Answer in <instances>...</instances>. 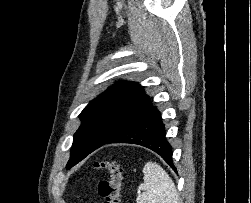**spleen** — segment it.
Masks as SVG:
<instances>
[{"label": "spleen", "mask_w": 251, "mask_h": 203, "mask_svg": "<svg viewBox=\"0 0 251 203\" xmlns=\"http://www.w3.org/2000/svg\"><path fill=\"white\" fill-rule=\"evenodd\" d=\"M144 182L137 203H178L175 185L167 172L155 162H147L143 168Z\"/></svg>", "instance_id": "1"}]
</instances>
